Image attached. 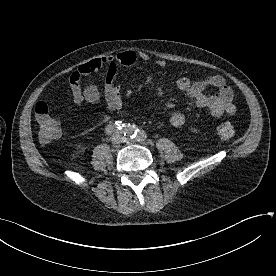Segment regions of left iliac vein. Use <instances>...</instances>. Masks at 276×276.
Segmentation results:
<instances>
[{"mask_svg": "<svg viewBox=\"0 0 276 276\" xmlns=\"http://www.w3.org/2000/svg\"><path fill=\"white\" fill-rule=\"evenodd\" d=\"M127 141V139H124V142H126Z\"/></svg>", "mask_w": 276, "mask_h": 276, "instance_id": "1", "label": "left iliac vein"}]
</instances>
